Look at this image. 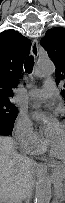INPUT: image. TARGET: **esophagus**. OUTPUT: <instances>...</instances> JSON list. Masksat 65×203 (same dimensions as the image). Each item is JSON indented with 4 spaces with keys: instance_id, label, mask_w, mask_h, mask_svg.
<instances>
[{
    "instance_id": "34e87169",
    "label": "esophagus",
    "mask_w": 65,
    "mask_h": 203,
    "mask_svg": "<svg viewBox=\"0 0 65 203\" xmlns=\"http://www.w3.org/2000/svg\"><path fill=\"white\" fill-rule=\"evenodd\" d=\"M31 54L37 58L39 55V50H38V41L36 39H33L32 41V46H31ZM39 168L43 167V164H38Z\"/></svg>"
}]
</instances>
